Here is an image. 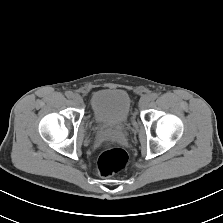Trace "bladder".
<instances>
[{
	"label": "bladder",
	"instance_id": "bladder-1",
	"mask_svg": "<svg viewBox=\"0 0 223 223\" xmlns=\"http://www.w3.org/2000/svg\"><path fill=\"white\" fill-rule=\"evenodd\" d=\"M90 106L98 124L120 125L128 120L132 101L123 89H101L91 95Z\"/></svg>",
	"mask_w": 223,
	"mask_h": 223
}]
</instances>
